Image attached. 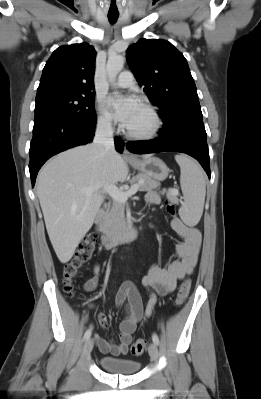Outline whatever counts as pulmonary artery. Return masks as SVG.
<instances>
[{
	"label": "pulmonary artery",
	"mask_w": 261,
	"mask_h": 399,
	"mask_svg": "<svg viewBox=\"0 0 261 399\" xmlns=\"http://www.w3.org/2000/svg\"><path fill=\"white\" fill-rule=\"evenodd\" d=\"M134 83L133 74L130 71H123L116 81V86L119 88H129L132 87Z\"/></svg>",
	"instance_id": "obj_1"
}]
</instances>
